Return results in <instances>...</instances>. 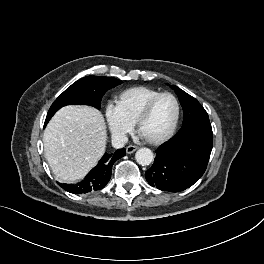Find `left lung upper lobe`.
<instances>
[{"instance_id": "1", "label": "left lung upper lobe", "mask_w": 264, "mask_h": 264, "mask_svg": "<svg viewBox=\"0 0 264 264\" xmlns=\"http://www.w3.org/2000/svg\"><path fill=\"white\" fill-rule=\"evenodd\" d=\"M171 87L178 95L184 112L183 125L179 132L188 131L191 128L203 123H210L207 112L195 98L177 86L173 85Z\"/></svg>"}]
</instances>
